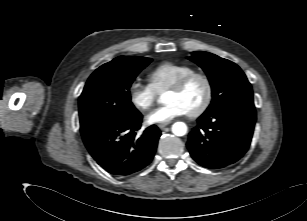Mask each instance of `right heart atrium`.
<instances>
[{
  "label": "right heart atrium",
  "instance_id": "d8ad5b80",
  "mask_svg": "<svg viewBox=\"0 0 307 221\" xmlns=\"http://www.w3.org/2000/svg\"><path fill=\"white\" fill-rule=\"evenodd\" d=\"M156 95V92L149 84L135 81L129 87L130 102L140 111L150 109L155 102Z\"/></svg>",
  "mask_w": 307,
  "mask_h": 221
}]
</instances>
